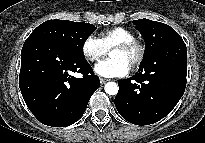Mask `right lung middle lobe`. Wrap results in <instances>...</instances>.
I'll return each mask as SVG.
<instances>
[{
	"label": "right lung middle lobe",
	"mask_w": 205,
	"mask_h": 143,
	"mask_svg": "<svg viewBox=\"0 0 205 143\" xmlns=\"http://www.w3.org/2000/svg\"><path fill=\"white\" fill-rule=\"evenodd\" d=\"M96 30L93 24L69 20H48L39 25L30 36H40L60 44L68 51L83 55V45L90 34Z\"/></svg>",
	"instance_id": "dd1d6c3e"
}]
</instances>
